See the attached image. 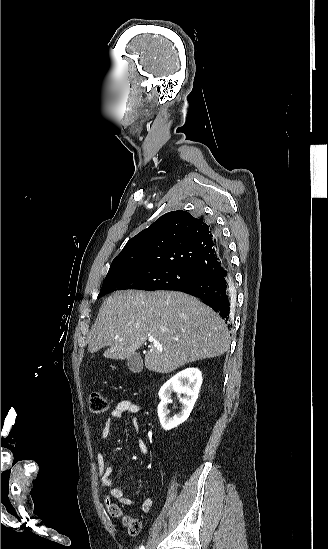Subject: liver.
<instances>
[{
    "label": "liver",
    "mask_w": 328,
    "mask_h": 549,
    "mask_svg": "<svg viewBox=\"0 0 328 549\" xmlns=\"http://www.w3.org/2000/svg\"><path fill=\"white\" fill-rule=\"evenodd\" d=\"M123 339V341H119ZM148 345L145 367L172 373L199 359L219 357L228 351V329L211 307L177 291H116L105 299L89 335L88 351L110 347L106 359H128Z\"/></svg>",
    "instance_id": "obj_1"
}]
</instances>
